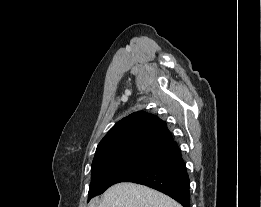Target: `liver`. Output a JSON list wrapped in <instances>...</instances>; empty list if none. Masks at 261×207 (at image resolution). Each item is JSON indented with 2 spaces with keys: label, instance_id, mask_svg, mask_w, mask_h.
<instances>
[{
  "label": "liver",
  "instance_id": "6515ba94",
  "mask_svg": "<svg viewBox=\"0 0 261 207\" xmlns=\"http://www.w3.org/2000/svg\"><path fill=\"white\" fill-rule=\"evenodd\" d=\"M88 207H182L165 194L147 186L122 182L110 187L102 200L94 198Z\"/></svg>",
  "mask_w": 261,
  "mask_h": 207
}]
</instances>
